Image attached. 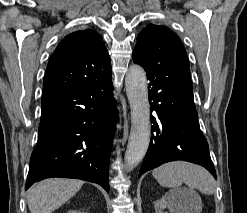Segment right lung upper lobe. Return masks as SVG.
<instances>
[{
	"instance_id": "1",
	"label": "right lung upper lobe",
	"mask_w": 247,
	"mask_h": 213,
	"mask_svg": "<svg viewBox=\"0 0 247 213\" xmlns=\"http://www.w3.org/2000/svg\"><path fill=\"white\" fill-rule=\"evenodd\" d=\"M111 75V63L102 37L93 30L67 35L52 54L43 81V97L71 86Z\"/></svg>"
}]
</instances>
